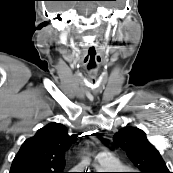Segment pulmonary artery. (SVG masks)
Masks as SVG:
<instances>
[{
	"instance_id": "e3ab8cb5",
	"label": "pulmonary artery",
	"mask_w": 173,
	"mask_h": 173,
	"mask_svg": "<svg viewBox=\"0 0 173 173\" xmlns=\"http://www.w3.org/2000/svg\"><path fill=\"white\" fill-rule=\"evenodd\" d=\"M110 158L109 154L106 153H99L96 155V160L101 164L105 161H107Z\"/></svg>"
}]
</instances>
